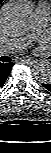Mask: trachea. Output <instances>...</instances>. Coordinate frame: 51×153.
<instances>
[{
  "instance_id": "obj_1",
  "label": "trachea",
  "mask_w": 51,
  "mask_h": 153,
  "mask_svg": "<svg viewBox=\"0 0 51 153\" xmlns=\"http://www.w3.org/2000/svg\"><path fill=\"white\" fill-rule=\"evenodd\" d=\"M5 59H2V62H9L10 61V59H9V57H6V56H3ZM8 58V59H7Z\"/></svg>"
}]
</instances>
